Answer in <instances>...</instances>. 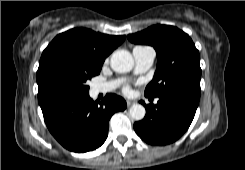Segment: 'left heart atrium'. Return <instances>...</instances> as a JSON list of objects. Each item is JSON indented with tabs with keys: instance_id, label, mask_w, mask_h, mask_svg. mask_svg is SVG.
Returning <instances> with one entry per match:
<instances>
[{
	"instance_id": "1",
	"label": "left heart atrium",
	"mask_w": 245,
	"mask_h": 170,
	"mask_svg": "<svg viewBox=\"0 0 245 170\" xmlns=\"http://www.w3.org/2000/svg\"><path fill=\"white\" fill-rule=\"evenodd\" d=\"M125 91H129V89H128V88H126V89H125Z\"/></svg>"
}]
</instances>
